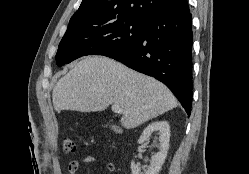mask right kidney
Here are the masks:
<instances>
[{"label":"right kidney","mask_w":249,"mask_h":174,"mask_svg":"<svg viewBox=\"0 0 249 174\" xmlns=\"http://www.w3.org/2000/svg\"><path fill=\"white\" fill-rule=\"evenodd\" d=\"M153 132H159L160 151L152 156L151 163L149 167L146 170H144V173L141 172L140 165L132 161L131 162L132 174H158L159 171L161 170L169 149L170 126L167 121H156L149 124L144 129L142 135L138 140V143L142 144L145 141H148Z\"/></svg>","instance_id":"right-kidney-1"}]
</instances>
